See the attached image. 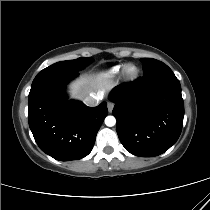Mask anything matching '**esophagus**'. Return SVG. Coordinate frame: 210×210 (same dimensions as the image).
I'll use <instances>...</instances> for the list:
<instances>
[{
    "label": "esophagus",
    "instance_id": "34e87169",
    "mask_svg": "<svg viewBox=\"0 0 210 210\" xmlns=\"http://www.w3.org/2000/svg\"><path fill=\"white\" fill-rule=\"evenodd\" d=\"M107 107H108V111L112 112L113 108H114V103L113 102H108L107 103Z\"/></svg>",
    "mask_w": 210,
    "mask_h": 210
}]
</instances>
